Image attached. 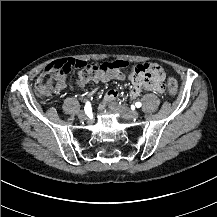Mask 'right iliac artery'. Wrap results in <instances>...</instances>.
<instances>
[{
    "instance_id": "right-iliac-artery-1",
    "label": "right iliac artery",
    "mask_w": 217,
    "mask_h": 217,
    "mask_svg": "<svg viewBox=\"0 0 217 217\" xmlns=\"http://www.w3.org/2000/svg\"><path fill=\"white\" fill-rule=\"evenodd\" d=\"M85 113L88 115L90 113H92V108H91V104L90 102H87L85 107H84Z\"/></svg>"
}]
</instances>
